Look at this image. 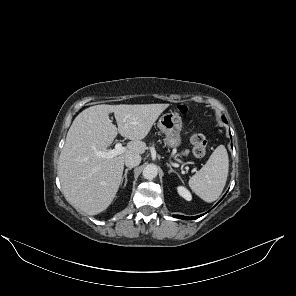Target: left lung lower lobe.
I'll return each mask as SVG.
<instances>
[{
	"mask_svg": "<svg viewBox=\"0 0 296 296\" xmlns=\"http://www.w3.org/2000/svg\"><path fill=\"white\" fill-rule=\"evenodd\" d=\"M223 121L226 122L225 117H223ZM201 216H202V215L195 216V217H187V216H182V215H174V217H176V218L185 219V220L197 219V218H199V217H201Z\"/></svg>",
	"mask_w": 296,
	"mask_h": 296,
	"instance_id": "0a47b994",
	"label": "left lung lower lobe"
}]
</instances>
